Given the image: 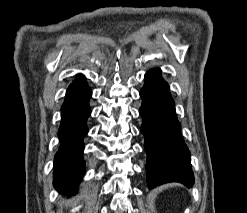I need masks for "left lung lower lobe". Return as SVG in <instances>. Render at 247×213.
<instances>
[{
  "instance_id": "0a47b994",
  "label": "left lung lower lobe",
  "mask_w": 247,
  "mask_h": 213,
  "mask_svg": "<svg viewBox=\"0 0 247 213\" xmlns=\"http://www.w3.org/2000/svg\"><path fill=\"white\" fill-rule=\"evenodd\" d=\"M140 96L148 187L151 189L167 182H180L191 187L194 176L190 152L181 137V125L175 113L174 101L160 69L146 73Z\"/></svg>"
}]
</instances>
